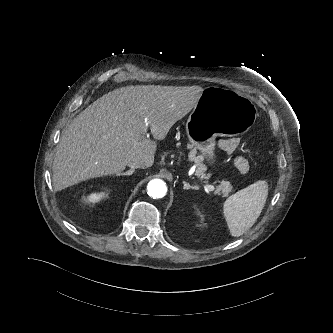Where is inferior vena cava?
Returning <instances> with one entry per match:
<instances>
[{"instance_id": "602c4592", "label": "inferior vena cava", "mask_w": 333, "mask_h": 333, "mask_svg": "<svg viewBox=\"0 0 333 333\" xmlns=\"http://www.w3.org/2000/svg\"><path fill=\"white\" fill-rule=\"evenodd\" d=\"M128 166L131 168V170H134L137 168H145L146 164L142 160L134 159L128 163Z\"/></svg>"}]
</instances>
